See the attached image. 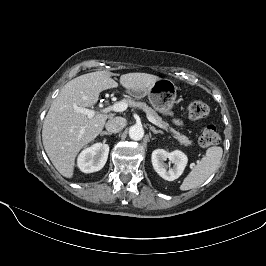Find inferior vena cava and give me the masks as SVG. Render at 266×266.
<instances>
[{"mask_svg":"<svg viewBox=\"0 0 266 266\" xmlns=\"http://www.w3.org/2000/svg\"><path fill=\"white\" fill-rule=\"evenodd\" d=\"M126 125V120L123 117H114L108 120L105 128L110 133L120 132Z\"/></svg>","mask_w":266,"mask_h":266,"instance_id":"inferior-vena-cava-1","label":"inferior vena cava"}]
</instances>
